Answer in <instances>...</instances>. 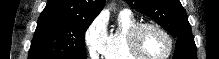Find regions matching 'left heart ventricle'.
Returning <instances> with one entry per match:
<instances>
[{
    "mask_svg": "<svg viewBox=\"0 0 219 59\" xmlns=\"http://www.w3.org/2000/svg\"><path fill=\"white\" fill-rule=\"evenodd\" d=\"M140 48L149 57H162L168 49L166 37L154 28H146L140 35Z\"/></svg>",
    "mask_w": 219,
    "mask_h": 59,
    "instance_id": "obj_1",
    "label": "left heart ventricle"
}]
</instances>
